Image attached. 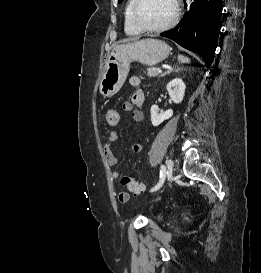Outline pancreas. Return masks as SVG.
<instances>
[{
	"label": "pancreas",
	"instance_id": "obj_1",
	"mask_svg": "<svg viewBox=\"0 0 261 273\" xmlns=\"http://www.w3.org/2000/svg\"><path fill=\"white\" fill-rule=\"evenodd\" d=\"M158 68H156V67H152V68H148L147 69V75L149 76V77H155V76H158Z\"/></svg>",
	"mask_w": 261,
	"mask_h": 273
}]
</instances>
